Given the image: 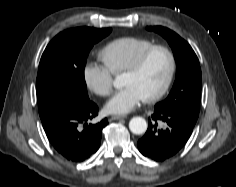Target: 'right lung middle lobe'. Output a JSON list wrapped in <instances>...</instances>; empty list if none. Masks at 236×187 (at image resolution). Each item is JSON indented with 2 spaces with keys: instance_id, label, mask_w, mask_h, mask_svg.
I'll return each instance as SVG.
<instances>
[{
  "instance_id": "right-lung-middle-lobe-1",
  "label": "right lung middle lobe",
  "mask_w": 236,
  "mask_h": 187,
  "mask_svg": "<svg viewBox=\"0 0 236 187\" xmlns=\"http://www.w3.org/2000/svg\"><path fill=\"white\" fill-rule=\"evenodd\" d=\"M111 28L78 27L54 37L41 57L36 82L39 115L46 125L63 106L89 99L84 68L89 51Z\"/></svg>"
}]
</instances>
